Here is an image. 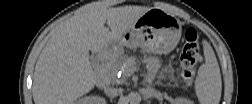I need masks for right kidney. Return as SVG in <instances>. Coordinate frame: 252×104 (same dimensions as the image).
<instances>
[{
	"mask_svg": "<svg viewBox=\"0 0 252 104\" xmlns=\"http://www.w3.org/2000/svg\"><path fill=\"white\" fill-rule=\"evenodd\" d=\"M77 104H105L106 101L102 97L99 96H86L84 98L79 99Z\"/></svg>",
	"mask_w": 252,
	"mask_h": 104,
	"instance_id": "right-kidney-1",
	"label": "right kidney"
}]
</instances>
